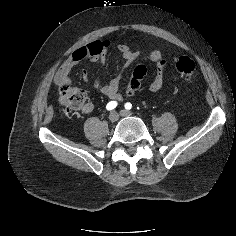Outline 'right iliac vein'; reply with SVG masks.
<instances>
[{
	"label": "right iliac vein",
	"mask_w": 236,
	"mask_h": 236,
	"mask_svg": "<svg viewBox=\"0 0 236 236\" xmlns=\"http://www.w3.org/2000/svg\"><path fill=\"white\" fill-rule=\"evenodd\" d=\"M119 119V115L117 112L113 111L109 114V121L114 123Z\"/></svg>",
	"instance_id": "right-iliac-vein-1"
}]
</instances>
